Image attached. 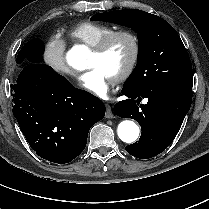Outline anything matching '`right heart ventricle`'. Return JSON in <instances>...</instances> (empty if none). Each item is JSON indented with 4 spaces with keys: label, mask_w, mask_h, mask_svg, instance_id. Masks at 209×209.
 <instances>
[{
    "label": "right heart ventricle",
    "mask_w": 209,
    "mask_h": 209,
    "mask_svg": "<svg viewBox=\"0 0 209 209\" xmlns=\"http://www.w3.org/2000/svg\"><path fill=\"white\" fill-rule=\"evenodd\" d=\"M113 31L115 30L111 25L83 21L70 27L66 31V34L69 38L74 39L79 43L93 47Z\"/></svg>",
    "instance_id": "obj_1"
}]
</instances>
